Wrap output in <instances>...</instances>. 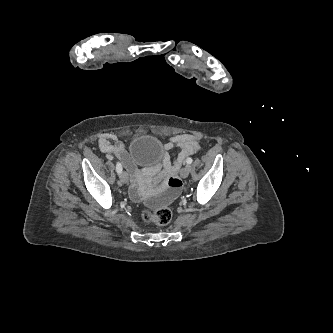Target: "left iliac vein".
Masks as SVG:
<instances>
[{"label":"left iliac vein","mask_w":333,"mask_h":333,"mask_svg":"<svg viewBox=\"0 0 333 333\" xmlns=\"http://www.w3.org/2000/svg\"><path fill=\"white\" fill-rule=\"evenodd\" d=\"M189 172H190V166L187 165V166H185L184 168L181 169L180 176L182 178H187L188 175H189Z\"/></svg>","instance_id":"4c4485c4"}]
</instances>
